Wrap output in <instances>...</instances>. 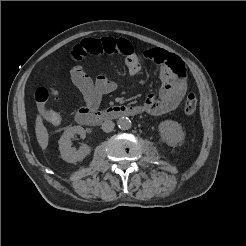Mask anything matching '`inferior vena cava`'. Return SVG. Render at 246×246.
I'll return each mask as SVG.
<instances>
[{
  "instance_id": "602c4592",
  "label": "inferior vena cava",
  "mask_w": 246,
  "mask_h": 246,
  "mask_svg": "<svg viewBox=\"0 0 246 246\" xmlns=\"http://www.w3.org/2000/svg\"><path fill=\"white\" fill-rule=\"evenodd\" d=\"M114 122L107 120L105 122L102 123V130L106 133L111 132L114 129Z\"/></svg>"
}]
</instances>
